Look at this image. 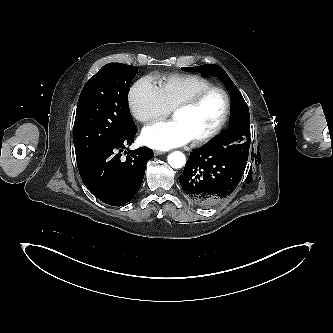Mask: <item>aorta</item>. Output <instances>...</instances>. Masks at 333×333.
<instances>
[{"label": "aorta", "instance_id": "762f6f07", "mask_svg": "<svg viewBox=\"0 0 333 333\" xmlns=\"http://www.w3.org/2000/svg\"><path fill=\"white\" fill-rule=\"evenodd\" d=\"M168 163L172 168H181L184 166L186 162L185 155L180 151H175L169 154L168 156Z\"/></svg>", "mask_w": 333, "mask_h": 333}]
</instances>
